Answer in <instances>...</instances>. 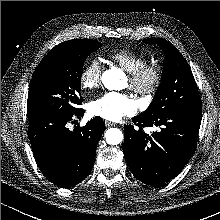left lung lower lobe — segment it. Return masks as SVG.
Instances as JSON below:
<instances>
[{
  "label": "left lung lower lobe",
  "mask_w": 220,
  "mask_h": 220,
  "mask_svg": "<svg viewBox=\"0 0 220 220\" xmlns=\"http://www.w3.org/2000/svg\"><path fill=\"white\" fill-rule=\"evenodd\" d=\"M201 109H173L156 116L140 114L124 128V156L133 175L158 186L176 177L191 158L197 144ZM159 127L148 135L143 127Z\"/></svg>",
  "instance_id": "1"
}]
</instances>
